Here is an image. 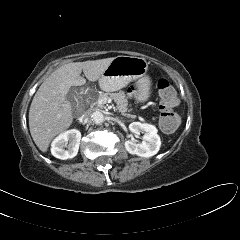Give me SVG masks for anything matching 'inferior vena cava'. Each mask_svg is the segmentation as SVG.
<instances>
[{
    "label": "inferior vena cava",
    "instance_id": "inferior-vena-cava-1",
    "mask_svg": "<svg viewBox=\"0 0 240 240\" xmlns=\"http://www.w3.org/2000/svg\"><path fill=\"white\" fill-rule=\"evenodd\" d=\"M90 115H91L90 111H85L84 113L81 114L80 119L83 121L89 120Z\"/></svg>",
    "mask_w": 240,
    "mask_h": 240
}]
</instances>
